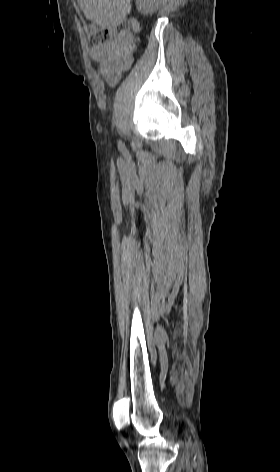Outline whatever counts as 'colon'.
<instances>
[{
  "instance_id": "5ec220e1",
  "label": "colon",
  "mask_w": 280,
  "mask_h": 472,
  "mask_svg": "<svg viewBox=\"0 0 280 472\" xmlns=\"http://www.w3.org/2000/svg\"><path fill=\"white\" fill-rule=\"evenodd\" d=\"M130 24L123 22L112 28L101 29L96 26L90 27V35L94 46H105L108 45L113 37L123 36L129 32ZM128 65L127 60H123L120 63L121 68H125Z\"/></svg>"
}]
</instances>
